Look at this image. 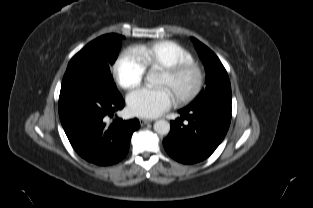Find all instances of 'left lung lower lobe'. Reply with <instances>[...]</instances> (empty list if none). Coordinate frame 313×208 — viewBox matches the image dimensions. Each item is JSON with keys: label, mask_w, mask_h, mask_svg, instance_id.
<instances>
[{"label": "left lung lower lobe", "mask_w": 313, "mask_h": 208, "mask_svg": "<svg viewBox=\"0 0 313 208\" xmlns=\"http://www.w3.org/2000/svg\"><path fill=\"white\" fill-rule=\"evenodd\" d=\"M181 118L171 121V130L163 140L166 152L184 164L208 158L224 139L231 121V104L207 102L181 110ZM186 119L188 124H183Z\"/></svg>", "instance_id": "obj_1"}]
</instances>
